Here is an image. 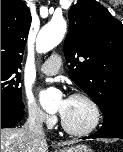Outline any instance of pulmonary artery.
<instances>
[{
	"label": "pulmonary artery",
	"mask_w": 123,
	"mask_h": 152,
	"mask_svg": "<svg viewBox=\"0 0 123 152\" xmlns=\"http://www.w3.org/2000/svg\"><path fill=\"white\" fill-rule=\"evenodd\" d=\"M62 64L61 56L52 54L41 66L40 71L46 75H55L58 73Z\"/></svg>",
	"instance_id": "pulmonary-artery-1"
}]
</instances>
